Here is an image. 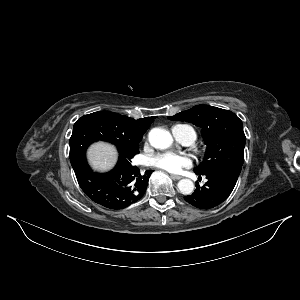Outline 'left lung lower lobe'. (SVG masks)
Wrapping results in <instances>:
<instances>
[{
    "instance_id": "1",
    "label": "left lung lower lobe",
    "mask_w": 300,
    "mask_h": 300,
    "mask_svg": "<svg viewBox=\"0 0 300 300\" xmlns=\"http://www.w3.org/2000/svg\"><path fill=\"white\" fill-rule=\"evenodd\" d=\"M208 181L202 187L196 183V190L192 195L184 197L191 205L199 209H211L224 202L231 194L237 182L239 173L227 169L207 172Z\"/></svg>"
}]
</instances>
